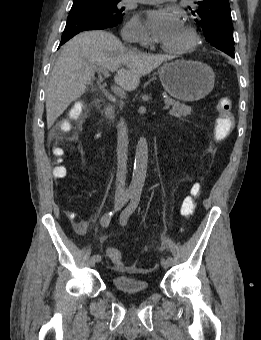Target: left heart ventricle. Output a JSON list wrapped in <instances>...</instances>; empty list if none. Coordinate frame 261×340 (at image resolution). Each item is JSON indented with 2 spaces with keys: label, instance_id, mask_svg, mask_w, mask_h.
Returning a JSON list of instances; mask_svg holds the SVG:
<instances>
[{
  "label": "left heart ventricle",
  "instance_id": "left-heart-ventricle-1",
  "mask_svg": "<svg viewBox=\"0 0 261 340\" xmlns=\"http://www.w3.org/2000/svg\"><path fill=\"white\" fill-rule=\"evenodd\" d=\"M188 42V35L183 27L165 44L167 47H180Z\"/></svg>",
  "mask_w": 261,
  "mask_h": 340
}]
</instances>
